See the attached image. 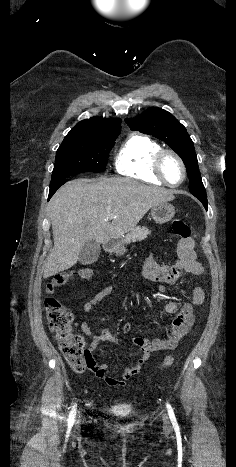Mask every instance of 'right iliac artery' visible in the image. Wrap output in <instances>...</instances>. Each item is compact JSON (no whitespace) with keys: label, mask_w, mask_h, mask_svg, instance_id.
<instances>
[{"label":"right iliac artery","mask_w":236,"mask_h":467,"mask_svg":"<svg viewBox=\"0 0 236 467\" xmlns=\"http://www.w3.org/2000/svg\"><path fill=\"white\" fill-rule=\"evenodd\" d=\"M76 411H77V404H74L71 411H70V414H69V419H68V423L69 424H73L74 421H75V416H76Z\"/></svg>","instance_id":"1"}]
</instances>
